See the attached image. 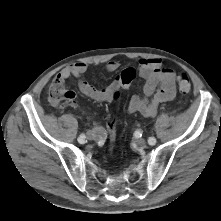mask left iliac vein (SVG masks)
Returning a JSON list of instances; mask_svg holds the SVG:
<instances>
[{
  "mask_svg": "<svg viewBox=\"0 0 221 221\" xmlns=\"http://www.w3.org/2000/svg\"><path fill=\"white\" fill-rule=\"evenodd\" d=\"M136 144L139 145V146H145L146 144V140L144 138H137L135 140Z\"/></svg>",
  "mask_w": 221,
  "mask_h": 221,
  "instance_id": "1",
  "label": "left iliac vein"
}]
</instances>
